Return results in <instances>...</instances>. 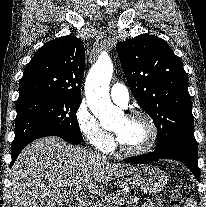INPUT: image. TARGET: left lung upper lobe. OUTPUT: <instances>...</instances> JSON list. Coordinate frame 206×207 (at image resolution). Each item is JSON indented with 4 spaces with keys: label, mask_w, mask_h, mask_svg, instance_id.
Masks as SVG:
<instances>
[{
    "label": "left lung upper lobe",
    "mask_w": 206,
    "mask_h": 207,
    "mask_svg": "<svg viewBox=\"0 0 206 207\" xmlns=\"http://www.w3.org/2000/svg\"><path fill=\"white\" fill-rule=\"evenodd\" d=\"M116 50L132 93L156 124L155 151L197 148L188 76L180 58L149 34L128 39Z\"/></svg>",
    "instance_id": "left-lung-upper-lobe-1"
}]
</instances>
